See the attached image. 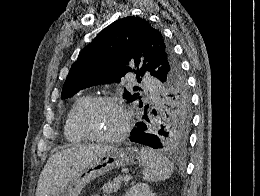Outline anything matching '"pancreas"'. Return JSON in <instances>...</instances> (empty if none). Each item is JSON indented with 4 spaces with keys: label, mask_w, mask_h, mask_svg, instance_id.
<instances>
[{
    "label": "pancreas",
    "mask_w": 260,
    "mask_h": 196,
    "mask_svg": "<svg viewBox=\"0 0 260 196\" xmlns=\"http://www.w3.org/2000/svg\"><path fill=\"white\" fill-rule=\"evenodd\" d=\"M123 178L124 176H118V178H114L112 182L104 184L103 188H101L103 196H110L112 192H117L120 188L121 182H124Z\"/></svg>",
    "instance_id": "pancreas-1"
}]
</instances>
